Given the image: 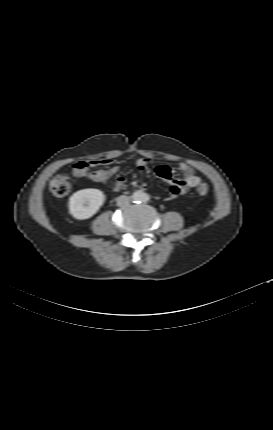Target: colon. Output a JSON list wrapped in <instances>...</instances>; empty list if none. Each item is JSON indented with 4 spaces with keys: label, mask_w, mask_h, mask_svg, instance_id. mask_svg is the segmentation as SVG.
<instances>
[{
    "label": "colon",
    "mask_w": 273,
    "mask_h": 430,
    "mask_svg": "<svg viewBox=\"0 0 273 430\" xmlns=\"http://www.w3.org/2000/svg\"><path fill=\"white\" fill-rule=\"evenodd\" d=\"M72 188V180L65 174L58 173L54 175L49 182V189L57 197L67 195ZM210 190L207 183H201L197 187V193L200 196L206 195Z\"/></svg>",
    "instance_id": "obj_1"
}]
</instances>
